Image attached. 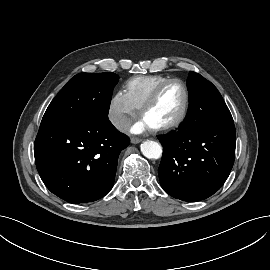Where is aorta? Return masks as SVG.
<instances>
[{"label":"aorta","mask_w":270,"mask_h":270,"mask_svg":"<svg viewBox=\"0 0 270 270\" xmlns=\"http://www.w3.org/2000/svg\"><path fill=\"white\" fill-rule=\"evenodd\" d=\"M141 152L148 159H158L162 155V147L155 141L146 140L141 144Z\"/></svg>","instance_id":"obj_1"}]
</instances>
